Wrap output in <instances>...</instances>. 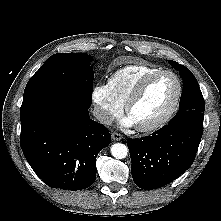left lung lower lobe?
<instances>
[{
	"mask_svg": "<svg viewBox=\"0 0 221 221\" xmlns=\"http://www.w3.org/2000/svg\"><path fill=\"white\" fill-rule=\"evenodd\" d=\"M203 119V112L180 111L152 135L127 140L132 177L138 187L160 188L192 165L203 133Z\"/></svg>",
	"mask_w": 221,
	"mask_h": 221,
	"instance_id": "0a47b994",
	"label": "left lung lower lobe"
}]
</instances>
